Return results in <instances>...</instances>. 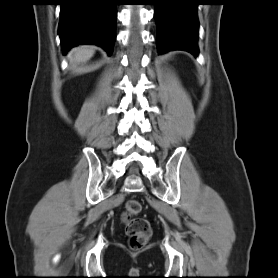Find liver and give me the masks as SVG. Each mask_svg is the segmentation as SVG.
Segmentation results:
<instances>
[{
  "mask_svg": "<svg viewBox=\"0 0 278 278\" xmlns=\"http://www.w3.org/2000/svg\"><path fill=\"white\" fill-rule=\"evenodd\" d=\"M94 52L95 50L93 47L80 46L72 50L70 60L79 64L90 59L93 56Z\"/></svg>",
  "mask_w": 278,
  "mask_h": 278,
  "instance_id": "6515ba94",
  "label": "liver"
}]
</instances>
